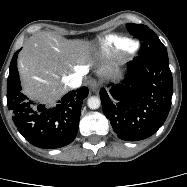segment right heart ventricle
I'll list each match as a JSON object with an SVG mask.
<instances>
[{
  "label": "right heart ventricle",
  "instance_id": "1",
  "mask_svg": "<svg viewBox=\"0 0 187 187\" xmlns=\"http://www.w3.org/2000/svg\"><path fill=\"white\" fill-rule=\"evenodd\" d=\"M101 48L104 51H108L110 49L131 51L136 48V43L126 38L108 37L102 41Z\"/></svg>",
  "mask_w": 187,
  "mask_h": 187
}]
</instances>
